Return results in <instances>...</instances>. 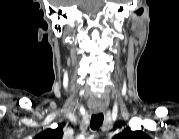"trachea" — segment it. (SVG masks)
<instances>
[{
	"label": "trachea",
	"mask_w": 179,
	"mask_h": 139,
	"mask_svg": "<svg viewBox=\"0 0 179 139\" xmlns=\"http://www.w3.org/2000/svg\"><path fill=\"white\" fill-rule=\"evenodd\" d=\"M104 116L102 113L92 115L91 117V122H90V127L92 130H97L103 123Z\"/></svg>",
	"instance_id": "1"
}]
</instances>
